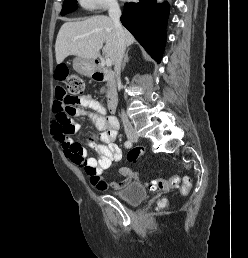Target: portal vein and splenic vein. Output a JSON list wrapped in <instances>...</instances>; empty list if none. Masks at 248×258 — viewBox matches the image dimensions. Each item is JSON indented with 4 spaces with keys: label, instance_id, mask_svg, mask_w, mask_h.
Instances as JSON below:
<instances>
[{
    "label": "portal vein and splenic vein",
    "instance_id": "portal-vein-and-splenic-vein-1",
    "mask_svg": "<svg viewBox=\"0 0 248 258\" xmlns=\"http://www.w3.org/2000/svg\"><path fill=\"white\" fill-rule=\"evenodd\" d=\"M105 64H106L107 67H110V66L112 65L111 59L107 58V59L105 60Z\"/></svg>",
    "mask_w": 248,
    "mask_h": 258
}]
</instances>
